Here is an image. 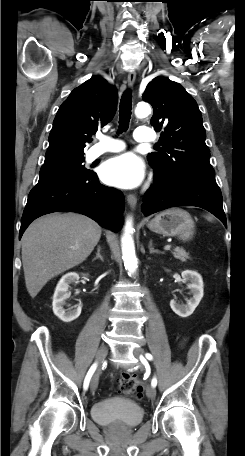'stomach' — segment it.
<instances>
[{
	"label": "stomach",
	"instance_id": "0dacf381",
	"mask_svg": "<svg viewBox=\"0 0 245 456\" xmlns=\"http://www.w3.org/2000/svg\"><path fill=\"white\" fill-rule=\"evenodd\" d=\"M147 227L164 236H178L188 240L194 233V221L191 215L181 208H171L157 214Z\"/></svg>",
	"mask_w": 245,
	"mask_h": 456
}]
</instances>
